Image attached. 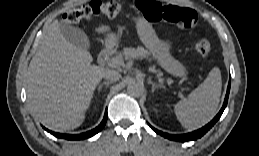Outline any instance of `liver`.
Segmentation results:
<instances>
[{"label":"liver","instance_id":"obj_1","mask_svg":"<svg viewBox=\"0 0 259 156\" xmlns=\"http://www.w3.org/2000/svg\"><path fill=\"white\" fill-rule=\"evenodd\" d=\"M92 61L89 51L65 39L58 20L49 25L27 72L30 110L47 128L66 131L82 124L107 71Z\"/></svg>","mask_w":259,"mask_h":156}]
</instances>
